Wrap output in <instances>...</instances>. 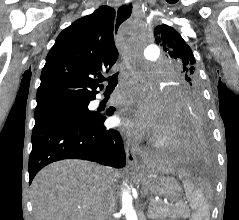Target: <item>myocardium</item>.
Here are the masks:
<instances>
[{"label":"myocardium","instance_id":"f54148a6","mask_svg":"<svg viewBox=\"0 0 239 220\" xmlns=\"http://www.w3.org/2000/svg\"><path fill=\"white\" fill-rule=\"evenodd\" d=\"M166 144H167V139L165 137H161L155 142L154 146L155 147H162Z\"/></svg>","mask_w":239,"mask_h":220}]
</instances>
